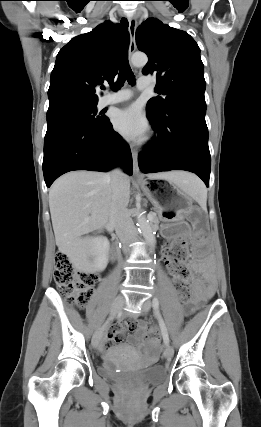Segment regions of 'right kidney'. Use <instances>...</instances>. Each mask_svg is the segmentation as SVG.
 Returning <instances> with one entry per match:
<instances>
[{
	"mask_svg": "<svg viewBox=\"0 0 261 427\" xmlns=\"http://www.w3.org/2000/svg\"><path fill=\"white\" fill-rule=\"evenodd\" d=\"M93 266L96 271H103L108 264L109 242L105 237H96L92 240Z\"/></svg>",
	"mask_w": 261,
	"mask_h": 427,
	"instance_id": "1",
	"label": "right kidney"
}]
</instances>
